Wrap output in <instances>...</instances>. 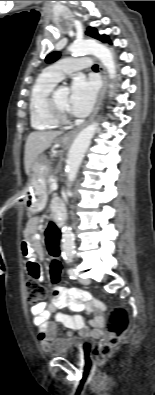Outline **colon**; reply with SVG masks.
I'll list each match as a JSON object with an SVG mask.
<instances>
[{
	"label": "colon",
	"mask_w": 155,
	"mask_h": 395,
	"mask_svg": "<svg viewBox=\"0 0 155 395\" xmlns=\"http://www.w3.org/2000/svg\"><path fill=\"white\" fill-rule=\"evenodd\" d=\"M47 228L45 232V250L49 251L51 256L57 259L60 254L59 245H61V238L59 235L61 230L58 228L57 223H48ZM50 270L54 273V279H61L62 265H60L59 260H52ZM56 286H59V283H56ZM25 287L27 301L30 304L39 303L47 295L45 287L35 278L31 277L28 279ZM129 320V311L123 306L115 307L110 311L106 326L108 337L97 351L101 358L108 357L113 349L120 343L123 335L128 329Z\"/></svg>",
	"instance_id": "1"
}]
</instances>
